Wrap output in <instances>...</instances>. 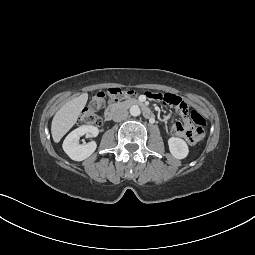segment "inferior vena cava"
<instances>
[{
	"instance_id": "602c4592",
	"label": "inferior vena cava",
	"mask_w": 255,
	"mask_h": 255,
	"mask_svg": "<svg viewBox=\"0 0 255 255\" xmlns=\"http://www.w3.org/2000/svg\"><path fill=\"white\" fill-rule=\"evenodd\" d=\"M128 117V111L126 109H116L113 113V121L120 122Z\"/></svg>"
}]
</instances>
